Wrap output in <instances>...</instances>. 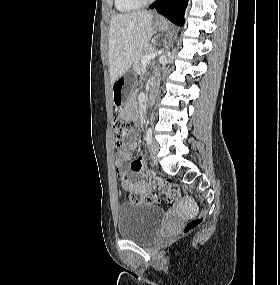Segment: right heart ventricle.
Instances as JSON below:
<instances>
[{"mask_svg":"<svg viewBox=\"0 0 280 285\" xmlns=\"http://www.w3.org/2000/svg\"><path fill=\"white\" fill-rule=\"evenodd\" d=\"M143 4L137 0H114V6L120 13H130L138 10Z\"/></svg>","mask_w":280,"mask_h":285,"instance_id":"right-heart-ventricle-1","label":"right heart ventricle"}]
</instances>
